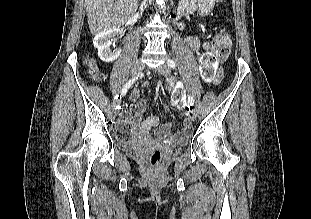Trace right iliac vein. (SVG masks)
Here are the masks:
<instances>
[{
    "label": "right iliac vein",
    "instance_id": "right-iliac-vein-1",
    "mask_svg": "<svg viewBox=\"0 0 311 219\" xmlns=\"http://www.w3.org/2000/svg\"><path fill=\"white\" fill-rule=\"evenodd\" d=\"M145 67V64L142 60H138L136 61V63L134 64V68H133V75H136L138 73H140ZM121 103V98L116 100L113 105L114 107L119 105Z\"/></svg>",
    "mask_w": 311,
    "mask_h": 219
}]
</instances>
